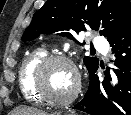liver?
Returning <instances> with one entry per match:
<instances>
[{
	"label": "liver",
	"instance_id": "6515ba94",
	"mask_svg": "<svg viewBox=\"0 0 131 115\" xmlns=\"http://www.w3.org/2000/svg\"><path fill=\"white\" fill-rule=\"evenodd\" d=\"M13 115H48L46 112L31 107H18L12 112Z\"/></svg>",
	"mask_w": 131,
	"mask_h": 115
}]
</instances>
